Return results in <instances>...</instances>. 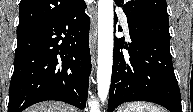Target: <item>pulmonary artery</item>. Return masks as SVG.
Instances as JSON below:
<instances>
[{
  "mask_svg": "<svg viewBox=\"0 0 193 112\" xmlns=\"http://www.w3.org/2000/svg\"><path fill=\"white\" fill-rule=\"evenodd\" d=\"M116 11H117V14H118V16H119V18H120L124 28L126 30H128V24H127V17H126V15L124 14V12L120 8H118Z\"/></svg>",
  "mask_w": 193,
  "mask_h": 112,
  "instance_id": "e3ab8cb5",
  "label": "pulmonary artery"
}]
</instances>
